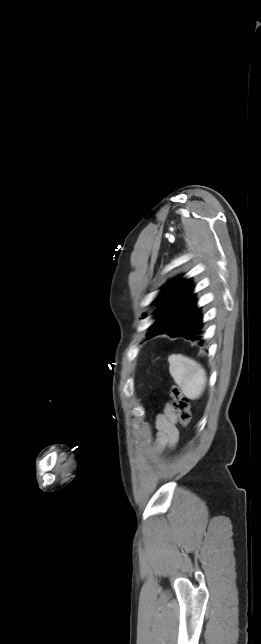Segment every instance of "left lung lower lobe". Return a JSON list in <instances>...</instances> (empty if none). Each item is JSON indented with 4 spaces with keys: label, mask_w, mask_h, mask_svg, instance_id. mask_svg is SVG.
I'll use <instances>...</instances> for the list:
<instances>
[{
    "label": "left lung lower lobe",
    "mask_w": 261,
    "mask_h": 644,
    "mask_svg": "<svg viewBox=\"0 0 261 644\" xmlns=\"http://www.w3.org/2000/svg\"><path fill=\"white\" fill-rule=\"evenodd\" d=\"M202 328V315L199 310L189 322L175 329L168 335L170 337H183L187 340L195 341L202 345L205 342L203 339Z\"/></svg>",
    "instance_id": "1"
}]
</instances>
